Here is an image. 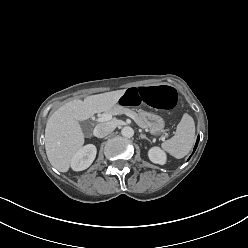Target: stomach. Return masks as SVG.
I'll use <instances>...</instances> for the list:
<instances>
[{
  "label": "stomach",
  "instance_id": "obj_1",
  "mask_svg": "<svg viewBox=\"0 0 248 248\" xmlns=\"http://www.w3.org/2000/svg\"><path fill=\"white\" fill-rule=\"evenodd\" d=\"M138 116L143 118L151 134L160 135L164 132L165 122L161 116L148 112H139Z\"/></svg>",
  "mask_w": 248,
  "mask_h": 248
}]
</instances>
